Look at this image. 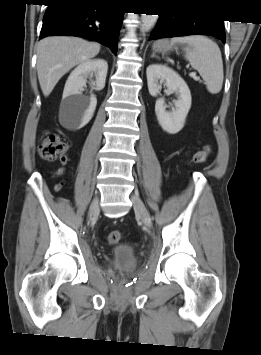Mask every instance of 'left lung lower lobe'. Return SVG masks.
Wrapping results in <instances>:
<instances>
[{
	"label": "left lung lower lobe",
	"instance_id": "left-lung-lower-lobe-1",
	"mask_svg": "<svg viewBox=\"0 0 261 355\" xmlns=\"http://www.w3.org/2000/svg\"><path fill=\"white\" fill-rule=\"evenodd\" d=\"M185 35H208L225 43L224 21L210 18L160 15L150 39Z\"/></svg>",
	"mask_w": 261,
	"mask_h": 355
}]
</instances>
